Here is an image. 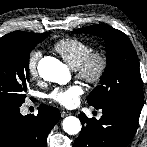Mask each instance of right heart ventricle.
<instances>
[{
	"label": "right heart ventricle",
	"instance_id": "obj_1",
	"mask_svg": "<svg viewBox=\"0 0 147 147\" xmlns=\"http://www.w3.org/2000/svg\"><path fill=\"white\" fill-rule=\"evenodd\" d=\"M53 49L57 52L73 69H76L85 56L92 50L91 45L76 37H66L58 40Z\"/></svg>",
	"mask_w": 147,
	"mask_h": 147
}]
</instances>
